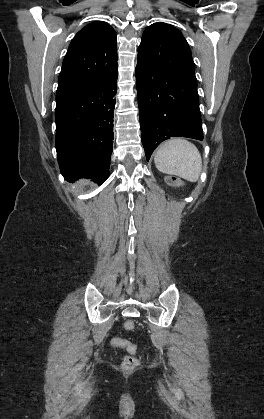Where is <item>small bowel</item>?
<instances>
[{
  "label": "small bowel",
  "mask_w": 264,
  "mask_h": 419,
  "mask_svg": "<svg viewBox=\"0 0 264 419\" xmlns=\"http://www.w3.org/2000/svg\"><path fill=\"white\" fill-rule=\"evenodd\" d=\"M116 339H117V338L113 339V341H112V345H113V346H115V345H114V342H115V340H116Z\"/></svg>",
  "instance_id": "c3829d8e"
}]
</instances>
